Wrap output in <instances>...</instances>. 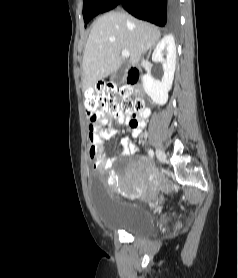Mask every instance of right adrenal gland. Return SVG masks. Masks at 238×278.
<instances>
[{
	"mask_svg": "<svg viewBox=\"0 0 238 278\" xmlns=\"http://www.w3.org/2000/svg\"><path fill=\"white\" fill-rule=\"evenodd\" d=\"M150 52H151V50L149 51L148 56L150 55Z\"/></svg>",
	"mask_w": 238,
	"mask_h": 278,
	"instance_id": "obj_1",
	"label": "right adrenal gland"
}]
</instances>
